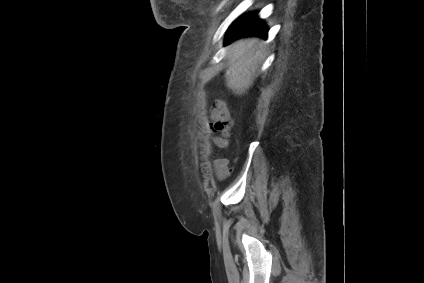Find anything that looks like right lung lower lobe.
I'll use <instances>...</instances> for the list:
<instances>
[{
	"instance_id": "1",
	"label": "right lung lower lobe",
	"mask_w": 424,
	"mask_h": 283,
	"mask_svg": "<svg viewBox=\"0 0 424 283\" xmlns=\"http://www.w3.org/2000/svg\"><path fill=\"white\" fill-rule=\"evenodd\" d=\"M267 26L257 17V12L239 17L229 28L225 44L243 36L266 38Z\"/></svg>"
}]
</instances>
